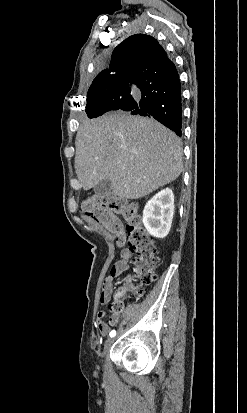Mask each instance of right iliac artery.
<instances>
[{"label":"right iliac artery","mask_w":247,"mask_h":413,"mask_svg":"<svg viewBox=\"0 0 247 413\" xmlns=\"http://www.w3.org/2000/svg\"><path fill=\"white\" fill-rule=\"evenodd\" d=\"M109 335H110L111 338L114 337L116 335V331L112 330Z\"/></svg>","instance_id":"82829eb1"}]
</instances>
